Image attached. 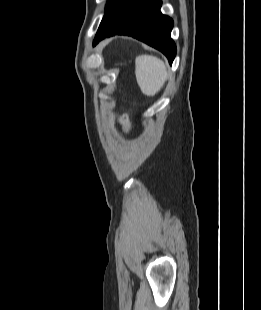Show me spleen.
Instances as JSON below:
<instances>
[{
  "instance_id": "spleen-1",
  "label": "spleen",
  "mask_w": 261,
  "mask_h": 310,
  "mask_svg": "<svg viewBox=\"0 0 261 310\" xmlns=\"http://www.w3.org/2000/svg\"><path fill=\"white\" fill-rule=\"evenodd\" d=\"M135 75L142 93L147 96H154L158 93L167 79L164 62L148 55L136 58Z\"/></svg>"
}]
</instances>
